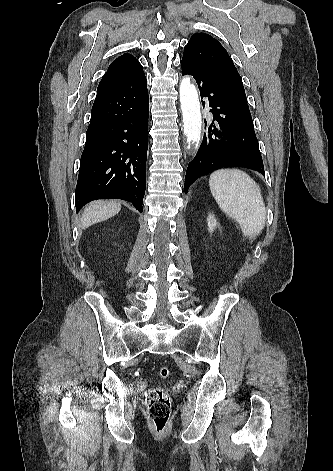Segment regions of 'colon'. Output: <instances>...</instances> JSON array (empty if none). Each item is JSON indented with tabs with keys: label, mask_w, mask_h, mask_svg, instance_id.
<instances>
[{
	"label": "colon",
	"mask_w": 333,
	"mask_h": 471,
	"mask_svg": "<svg viewBox=\"0 0 333 471\" xmlns=\"http://www.w3.org/2000/svg\"><path fill=\"white\" fill-rule=\"evenodd\" d=\"M170 376V369L162 366L158 377L165 380ZM146 403L154 430L157 433L165 432L171 413V399L163 388L151 389L146 393Z\"/></svg>",
	"instance_id": "obj_1"
}]
</instances>
